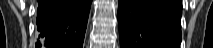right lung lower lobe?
I'll use <instances>...</instances> for the list:
<instances>
[{"mask_svg": "<svg viewBox=\"0 0 213 48\" xmlns=\"http://www.w3.org/2000/svg\"><path fill=\"white\" fill-rule=\"evenodd\" d=\"M92 0H39L37 46L82 48Z\"/></svg>", "mask_w": 213, "mask_h": 48, "instance_id": "obj_1", "label": "right lung lower lobe"}]
</instances>
